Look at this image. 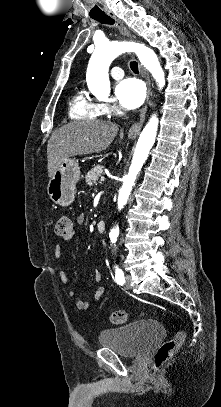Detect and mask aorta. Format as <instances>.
Listing matches in <instances>:
<instances>
[{
  "mask_svg": "<svg viewBox=\"0 0 221 407\" xmlns=\"http://www.w3.org/2000/svg\"><path fill=\"white\" fill-rule=\"evenodd\" d=\"M125 52H135L141 64L152 74L159 88L161 89L165 85L164 71L152 49L135 42H105L96 46L90 58L86 74L88 88L96 98L100 100L108 99L110 94L109 66L116 57ZM158 122L156 115H153L140 134L128 175L125 176L123 185L119 190L118 210H121L126 205L136 177L155 142ZM118 236L119 228L117 226L109 233L111 243H115Z\"/></svg>",
  "mask_w": 221,
  "mask_h": 407,
  "instance_id": "obj_1",
  "label": "aorta"
}]
</instances>
